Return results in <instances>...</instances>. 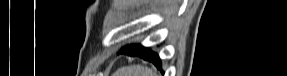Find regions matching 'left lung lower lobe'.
I'll use <instances>...</instances> for the list:
<instances>
[{"instance_id":"1","label":"left lung lower lobe","mask_w":287,"mask_h":76,"mask_svg":"<svg viewBox=\"0 0 287 76\" xmlns=\"http://www.w3.org/2000/svg\"><path fill=\"white\" fill-rule=\"evenodd\" d=\"M121 53L130 55V56H138L143 58L144 60H148L152 62L157 68L160 69L161 61L159 56L152 52L150 49H146L141 45H131L122 49Z\"/></svg>"}]
</instances>
